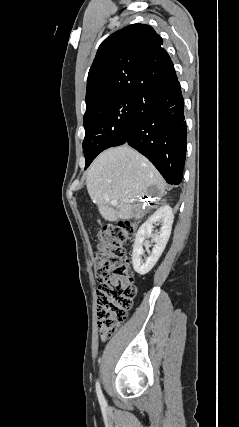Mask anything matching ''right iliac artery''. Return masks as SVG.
<instances>
[{"label": "right iliac artery", "instance_id": "right-iliac-artery-1", "mask_svg": "<svg viewBox=\"0 0 239 427\" xmlns=\"http://www.w3.org/2000/svg\"><path fill=\"white\" fill-rule=\"evenodd\" d=\"M96 392H97V396H98L100 404L102 406H105L106 405V401H105V398H104L103 393L101 391L99 382L96 383Z\"/></svg>", "mask_w": 239, "mask_h": 427}]
</instances>
